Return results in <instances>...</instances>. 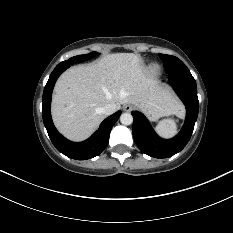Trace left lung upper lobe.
<instances>
[{
  "mask_svg": "<svg viewBox=\"0 0 233 233\" xmlns=\"http://www.w3.org/2000/svg\"><path fill=\"white\" fill-rule=\"evenodd\" d=\"M164 62L165 71L168 74H187L190 73L185 64L175 56L160 54Z\"/></svg>",
  "mask_w": 233,
  "mask_h": 233,
  "instance_id": "1",
  "label": "left lung upper lobe"
}]
</instances>
